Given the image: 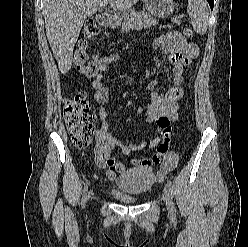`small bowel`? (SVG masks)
<instances>
[{
  "instance_id": "small-bowel-1",
  "label": "small bowel",
  "mask_w": 248,
  "mask_h": 247,
  "mask_svg": "<svg viewBox=\"0 0 248 247\" xmlns=\"http://www.w3.org/2000/svg\"><path fill=\"white\" fill-rule=\"evenodd\" d=\"M153 47L160 49L164 54L172 75L171 85L164 93L156 92L158 80L148 82L150 102L147 107L138 108L136 114L147 116L149 123L156 125L157 136L141 144L124 143L114 137L109 131L106 105L110 100V90L103 81V73L119 60L118 54L107 55L99 60V73L95 76L92 86L95 89L94 98L102 105L99 117L100 125L96 130V145L94 148L97 166L106 171L109 180H114L117 172H124L125 166L117 162L113 155L114 150H120L129 155L133 152L156 149L155 154L148 158L133 159L134 165L151 169L160 165L163 172L173 169L178 162L176 153L170 151L172 143L171 123L178 118V109L184 94V78L186 69L197 58L198 47L187 41L178 31H169L153 41Z\"/></svg>"
}]
</instances>
